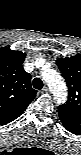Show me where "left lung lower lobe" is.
<instances>
[{"label":"left lung lower lobe","instance_id":"0a47b994","mask_svg":"<svg viewBox=\"0 0 81 155\" xmlns=\"http://www.w3.org/2000/svg\"><path fill=\"white\" fill-rule=\"evenodd\" d=\"M58 115L64 127L73 134H79L81 131V119L67 115L65 112L58 110Z\"/></svg>","mask_w":81,"mask_h":155}]
</instances>
